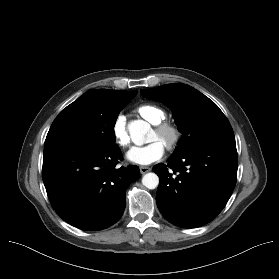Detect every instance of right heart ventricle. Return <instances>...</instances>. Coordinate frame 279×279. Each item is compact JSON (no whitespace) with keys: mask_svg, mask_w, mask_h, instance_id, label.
I'll use <instances>...</instances> for the list:
<instances>
[{"mask_svg":"<svg viewBox=\"0 0 279 279\" xmlns=\"http://www.w3.org/2000/svg\"><path fill=\"white\" fill-rule=\"evenodd\" d=\"M137 113L151 124H158L166 118L165 112L152 104H142L136 109Z\"/></svg>","mask_w":279,"mask_h":279,"instance_id":"obj_1","label":"right heart ventricle"}]
</instances>
